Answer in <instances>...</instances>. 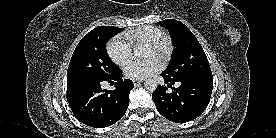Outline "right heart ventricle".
Listing matches in <instances>:
<instances>
[{
    "instance_id": "obj_1",
    "label": "right heart ventricle",
    "mask_w": 276,
    "mask_h": 138,
    "mask_svg": "<svg viewBox=\"0 0 276 138\" xmlns=\"http://www.w3.org/2000/svg\"><path fill=\"white\" fill-rule=\"evenodd\" d=\"M164 34L163 30L156 26H142L125 32L126 39L134 45L147 44L160 35Z\"/></svg>"
}]
</instances>
